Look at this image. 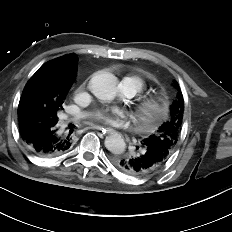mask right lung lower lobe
<instances>
[{
    "label": "right lung lower lobe",
    "mask_w": 232,
    "mask_h": 232,
    "mask_svg": "<svg viewBox=\"0 0 232 232\" xmlns=\"http://www.w3.org/2000/svg\"><path fill=\"white\" fill-rule=\"evenodd\" d=\"M20 134L27 148L41 157L60 155L66 152L74 142L73 136L62 132L58 126L47 128L40 123L20 132Z\"/></svg>",
    "instance_id": "1"
}]
</instances>
